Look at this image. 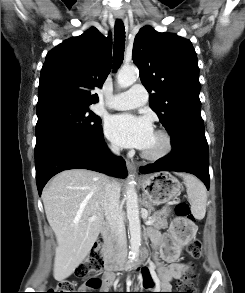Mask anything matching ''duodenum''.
Instances as JSON below:
<instances>
[{
	"mask_svg": "<svg viewBox=\"0 0 245 293\" xmlns=\"http://www.w3.org/2000/svg\"><path fill=\"white\" fill-rule=\"evenodd\" d=\"M110 225H106L101 229V237L107 242H109L110 236ZM104 257V267L108 271H117L120 269H140V262L136 261L133 264H129L127 259L121 253H111L108 249L103 254Z\"/></svg>",
	"mask_w": 245,
	"mask_h": 293,
	"instance_id": "1",
	"label": "duodenum"
}]
</instances>
